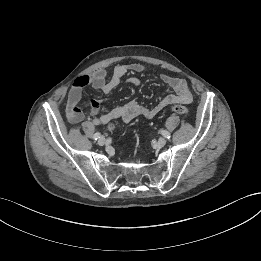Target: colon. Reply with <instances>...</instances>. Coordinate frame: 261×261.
I'll return each mask as SVG.
<instances>
[{"instance_id":"colon-1","label":"colon","mask_w":261,"mask_h":261,"mask_svg":"<svg viewBox=\"0 0 261 261\" xmlns=\"http://www.w3.org/2000/svg\"><path fill=\"white\" fill-rule=\"evenodd\" d=\"M172 111L180 114V115H187L189 113V109L187 106L185 105H181V104H176L172 107ZM113 124L109 125V129L112 130L113 129Z\"/></svg>"}]
</instances>
